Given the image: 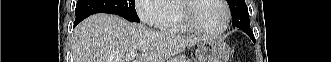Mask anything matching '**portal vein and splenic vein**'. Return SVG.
Returning <instances> with one entry per match:
<instances>
[{
	"mask_svg": "<svg viewBox=\"0 0 331 62\" xmlns=\"http://www.w3.org/2000/svg\"><path fill=\"white\" fill-rule=\"evenodd\" d=\"M136 55H137V51H132L127 54L126 59H133L136 57Z\"/></svg>",
	"mask_w": 331,
	"mask_h": 62,
	"instance_id": "18ae733b",
	"label": "portal vein and splenic vein"
}]
</instances>
